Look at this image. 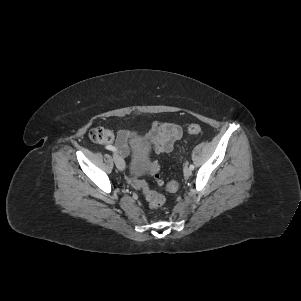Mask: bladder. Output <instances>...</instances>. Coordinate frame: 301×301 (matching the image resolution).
Listing matches in <instances>:
<instances>
[{"label": "bladder", "mask_w": 301, "mask_h": 301, "mask_svg": "<svg viewBox=\"0 0 301 301\" xmlns=\"http://www.w3.org/2000/svg\"><path fill=\"white\" fill-rule=\"evenodd\" d=\"M149 157V147L139 145L133 151L129 161V173L134 178H139L145 171Z\"/></svg>", "instance_id": "bladder-1"}]
</instances>
